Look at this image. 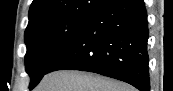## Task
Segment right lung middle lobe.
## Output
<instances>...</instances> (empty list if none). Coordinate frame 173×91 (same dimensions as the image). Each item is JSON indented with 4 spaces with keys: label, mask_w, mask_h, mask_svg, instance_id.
Listing matches in <instances>:
<instances>
[{
    "label": "right lung middle lobe",
    "mask_w": 173,
    "mask_h": 91,
    "mask_svg": "<svg viewBox=\"0 0 173 91\" xmlns=\"http://www.w3.org/2000/svg\"><path fill=\"white\" fill-rule=\"evenodd\" d=\"M93 14L74 15L36 23L26 28V72L34 88L48 67L70 44Z\"/></svg>",
    "instance_id": "1"
}]
</instances>
